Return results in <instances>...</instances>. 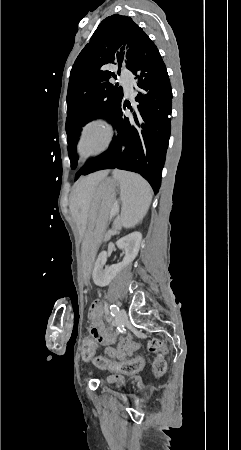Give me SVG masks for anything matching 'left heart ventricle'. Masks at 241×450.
<instances>
[{"label":"left heart ventricle","mask_w":241,"mask_h":450,"mask_svg":"<svg viewBox=\"0 0 241 450\" xmlns=\"http://www.w3.org/2000/svg\"><path fill=\"white\" fill-rule=\"evenodd\" d=\"M93 130L94 132L96 131V130H99L100 129V127H98V128H94V127H84V129L83 130ZM96 139V137H91V140H95Z\"/></svg>","instance_id":"1"}]
</instances>
